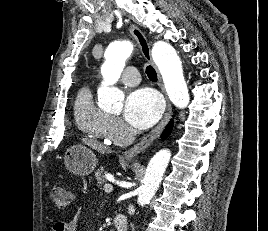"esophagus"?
Returning <instances> with one entry per match:
<instances>
[{"label": "esophagus", "instance_id": "obj_1", "mask_svg": "<svg viewBox=\"0 0 268 231\" xmlns=\"http://www.w3.org/2000/svg\"><path fill=\"white\" fill-rule=\"evenodd\" d=\"M129 30H130L131 34L134 36V38L136 39L137 45L141 49V52H142L144 58L148 62L151 63V65L155 68V70L158 73V70H157V68L154 64V61L152 59V56H151L150 45H149L145 35L135 25H131ZM158 79H159V86L161 87L162 92L166 96V109H165L164 115L161 118L158 125L143 140H141L139 143L135 144L134 146H132L131 148H129L128 150L125 151L124 158L126 160H133L140 153H142L143 151L148 149L153 144V142L159 138V136L161 135V133L165 129L166 125L168 124L169 120L171 119L172 105H171L169 98L167 97V95L165 93V88L162 84L159 73H158Z\"/></svg>", "mask_w": 268, "mask_h": 231}]
</instances>
